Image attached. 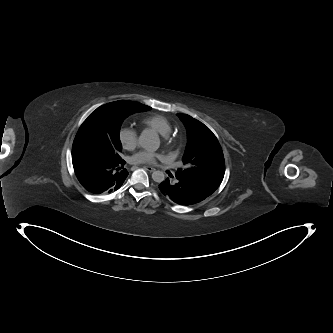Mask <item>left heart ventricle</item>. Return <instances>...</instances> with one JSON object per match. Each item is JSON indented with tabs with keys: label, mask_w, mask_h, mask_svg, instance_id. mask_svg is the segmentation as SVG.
Returning <instances> with one entry per match:
<instances>
[{
	"label": "left heart ventricle",
	"mask_w": 333,
	"mask_h": 333,
	"mask_svg": "<svg viewBox=\"0 0 333 333\" xmlns=\"http://www.w3.org/2000/svg\"><path fill=\"white\" fill-rule=\"evenodd\" d=\"M160 140L158 139L157 143L153 146V150H156L159 148Z\"/></svg>",
	"instance_id": "b2bd125f"
}]
</instances>
